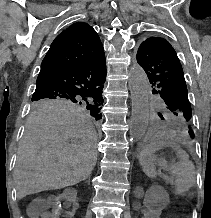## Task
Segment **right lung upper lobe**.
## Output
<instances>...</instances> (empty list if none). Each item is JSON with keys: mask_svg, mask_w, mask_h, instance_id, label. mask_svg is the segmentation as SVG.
<instances>
[{"mask_svg": "<svg viewBox=\"0 0 211 218\" xmlns=\"http://www.w3.org/2000/svg\"><path fill=\"white\" fill-rule=\"evenodd\" d=\"M104 57L99 36L88 24L78 22L63 30L53 41L41 64L37 81L61 70Z\"/></svg>", "mask_w": 211, "mask_h": 218, "instance_id": "right-lung-upper-lobe-1", "label": "right lung upper lobe"}]
</instances>
